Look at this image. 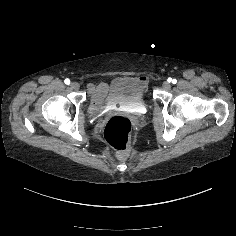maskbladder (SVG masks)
<instances>
[{
  "instance_id": "31cf9c89",
  "label": "bladder",
  "mask_w": 236,
  "mask_h": 236,
  "mask_svg": "<svg viewBox=\"0 0 236 236\" xmlns=\"http://www.w3.org/2000/svg\"><path fill=\"white\" fill-rule=\"evenodd\" d=\"M146 88L147 82L139 77L118 76L106 85L104 100L122 106L139 104Z\"/></svg>"
}]
</instances>
